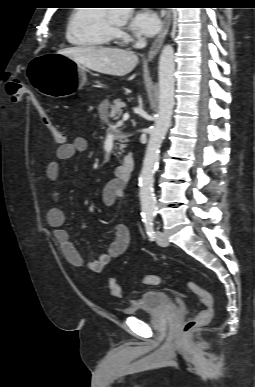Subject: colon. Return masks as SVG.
Segmentation results:
<instances>
[{
  "mask_svg": "<svg viewBox=\"0 0 255 387\" xmlns=\"http://www.w3.org/2000/svg\"><path fill=\"white\" fill-rule=\"evenodd\" d=\"M6 93L8 99L15 103L19 101L23 94L27 93V87L19 80L12 79L6 84ZM33 104L39 112L43 124L50 131L54 143L57 146L64 144L66 142L65 136L54 125L47 110L42 107L37 99H34ZM143 283L146 285H159L161 283V277L158 275H146L143 278ZM186 287L201 300L205 308L185 323L182 329L183 334L190 333L207 324L211 320L214 311V299L206 289L193 281H187ZM107 289L113 297H120L122 295L121 286L114 280L108 281Z\"/></svg>",
  "mask_w": 255,
  "mask_h": 387,
  "instance_id": "5ec220e1",
  "label": "colon"
}]
</instances>
